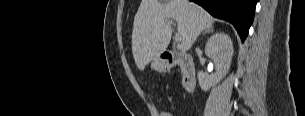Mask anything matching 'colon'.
I'll return each mask as SVG.
<instances>
[{"label":"colon","mask_w":305,"mask_h":116,"mask_svg":"<svg viewBox=\"0 0 305 116\" xmlns=\"http://www.w3.org/2000/svg\"><path fill=\"white\" fill-rule=\"evenodd\" d=\"M157 116H173V114L167 110H158Z\"/></svg>","instance_id":"5ec220e1"}]
</instances>
